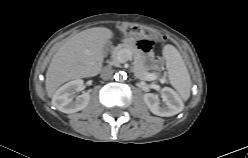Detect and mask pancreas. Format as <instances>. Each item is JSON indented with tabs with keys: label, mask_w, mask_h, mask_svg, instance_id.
Instances as JSON below:
<instances>
[{
	"label": "pancreas",
	"mask_w": 248,
	"mask_h": 158,
	"mask_svg": "<svg viewBox=\"0 0 248 158\" xmlns=\"http://www.w3.org/2000/svg\"><path fill=\"white\" fill-rule=\"evenodd\" d=\"M116 58L131 57L134 59L135 64H140L141 53L135 47L122 46L117 49ZM140 74L144 77L148 76V73L141 69Z\"/></svg>",
	"instance_id": "cf45deb5"
}]
</instances>
